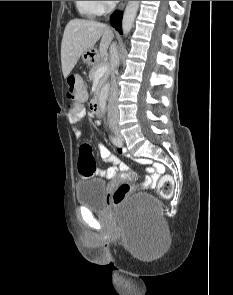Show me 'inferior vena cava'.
<instances>
[{
    "instance_id": "602c4592",
    "label": "inferior vena cava",
    "mask_w": 233,
    "mask_h": 295,
    "mask_svg": "<svg viewBox=\"0 0 233 295\" xmlns=\"http://www.w3.org/2000/svg\"><path fill=\"white\" fill-rule=\"evenodd\" d=\"M110 58L113 62V71H112V82H111V88H110V96H109V102H108V114L111 118H118L119 112L117 107V98H118V86L116 83V69L119 65V55L117 51L116 44L113 43L110 47Z\"/></svg>"
}]
</instances>
